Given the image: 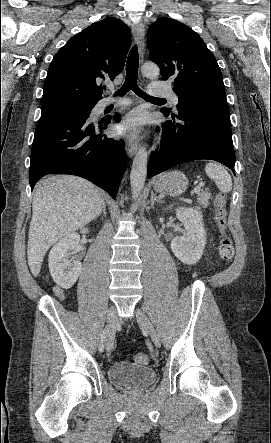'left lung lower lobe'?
<instances>
[{
	"label": "left lung lower lobe",
	"mask_w": 271,
	"mask_h": 443,
	"mask_svg": "<svg viewBox=\"0 0 271 443\" xmlns=\"http://www.w3.org/2000/svg\"><path fill=\"white\" fill-rule=\"evenodd\" d=\"M196 105L180 106L175 114L168 109L172 121L164 122L160 149L151 155L147 177L151 178L176 165L199 159L218 161L235 173L230 114L227 101L200 95ZM180 102V100H179ZM175 118L182 122L175 121Z\"/></svg>",
	"instance_id": "left-lung-lower-lobe-1"
}]
</instances>
